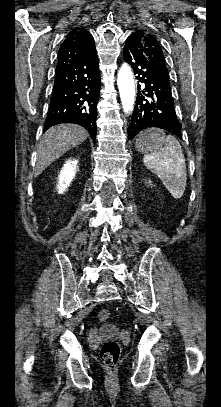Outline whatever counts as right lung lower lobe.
Segmentation results:
<instances>
[{"label": "right lung lower lobe", "mask_w": 221, "mask_h": 407, "mask_svg": "<svg viewBox=\"0 0 221 407\" xmlns=\"http://www.w3.org/2000/svg\"><path fill=\"white\" fill-rule=\"evenodd\" d=\"M100 82L95 46L88 56L56 71L44 130L60 123H75L95 139Z\"/></svg>", "instance_id": "obj_1"}]
</instances>
